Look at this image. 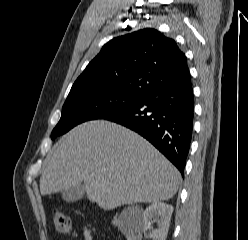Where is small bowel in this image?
I'll use <instances>...</instances> for the list:
<instances>
[{"label":"small bowel","instance_id":"c3829d8e","mask_svg":"<svg viewBox=\"0 0 248 240\" xmlns=\"http://www.w3.org/2000/svg\"><path fill=\"white\" fill-rule=\"evenodd\" d=\"M84 240H93L92 232L88 227L83 228Z\"/></svg>","mask_w":248,"mask_h":240}]
</instances>
